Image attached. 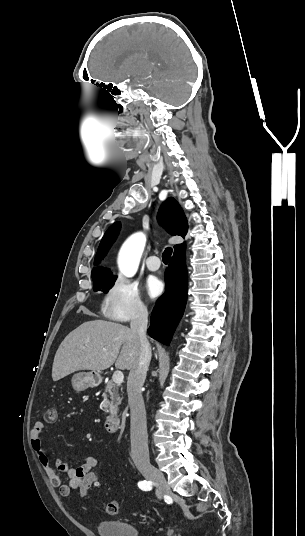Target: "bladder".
<instances>
[{
	"label": "bladder",
	"instance_id": "1",
	"mask_svg": "<svg viewBox=\"0 0 305 536\" xmlns=\"http://www.w3.org/2000/svg\"><path fill=\"white\" fill-rule=\"evenodd\" d=\"M98 536H148L140 533L139 527L134 523L108 519H100L96 524Z\"/></svg>",
	"mask_w": 305,
	"mask_h": 536
}]
</instances>
